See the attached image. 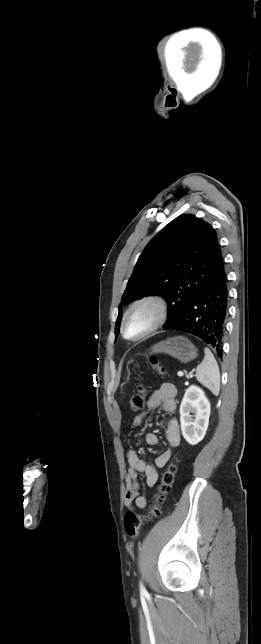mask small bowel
<instances>
[{"label": "small bowel", "mask_w": 261, "mask_h": 644, "mask_svg": "<svg viewBox=\"0 0 261 644\" xmlns=\"http://www.w3.org/2000/svg\"><path fill=\"white\" fill-rule=\"evenodd\" d=\"M176 395V387L173 384L164 383L151 394L147 407L148 409L161 407L165 413L173 414L177 408ZM145 415L146 412L136 416L133 420V426H139ZM166 439L169 447L156 457L155 466L147 464L133 450L127 453L128 469L125 477L126 492L124 502L128 508L135 506L139 509H144L147 506L146 496L139 493L138 476L143 475L146 484L150 487L157 483L159 477L157 468H162L168 463L173 450L180 444V427L176 418H170L167 422ZM145 440L151 446L159 444V438L154 432L147 433Z\"/></svg>", "instance_id": "obj_1"}]
</instances>
